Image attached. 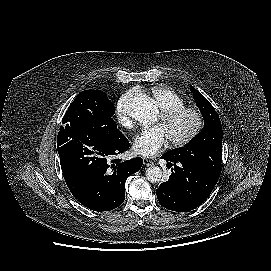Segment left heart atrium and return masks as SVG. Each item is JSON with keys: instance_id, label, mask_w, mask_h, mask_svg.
<instances>
[{"instance_id": "1", "label": "left heart atrium", "mask_w": 271, "mask_h": 271, "mask_svg": "<svg viewBox=\"0 0 271 271\" xmlns=\"http://www.w3.org/2000/svg\"><path fill=\"white\" fill-rule=\"evenodd\" d=\"M168 135L159 124L139 132L133 140V150L138 155L153 157L161 152L168 143Z\"/></svg>"}]
</instances>
